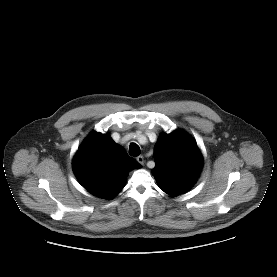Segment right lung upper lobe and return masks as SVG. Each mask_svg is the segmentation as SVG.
Listing matches in <instances>:
<instances>
[{"label": "right lung upper lobe", "mask_w": 277, "mask_h": 277, "mask_svg": "<svg viewBox=\"0 0 277 277\" xmlns=\"http://www.w3.org/2000/svg\"><path fill=\"white\" fill-rule=\"evenodd\" d=\"M140 167L108 134L91 132L73 159L81 185L97 197L111 199L124 187L131 169Z\"/></svg>", "instance_id": "1"}]
</instances>
